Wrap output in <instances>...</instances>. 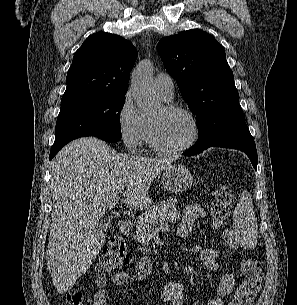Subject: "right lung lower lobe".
Returning a JSON list of instances; mask_svg holds the SVG:
<instances>
[{
    "mask_svg": "<svg viewBox=\"0 0 297 305\" xmlns=\"http://www.w3.org/2000/svg\"><path fill=\"white\" fill-rule=\"evenodd\" d=\"M98 138L106 141V142H110V143H115V142H118L119 139H115V138H112V137H107V136H97ZM62 147H59V148H52L51 149V152H50V160L58 153V151L61 149Z\"/></svg>",
    "mask_w": 297,
    "mask_h": 305,
    "instance_id": "98d812e1",
    "label": "right lung lower lobe"
}]
</instances>
